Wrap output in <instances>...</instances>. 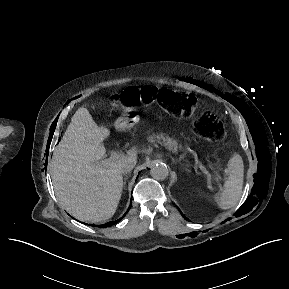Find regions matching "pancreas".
Segmentation results:
<instances>
[{"instance_id":"obj_1","label":"pancreas","mask_w":289,"mask_h":289,"mask_svg":"<svg viewBox=\"0 0 289 289\" xmlns=\"http://www.w3.org/2000/svg\"><path fill=\"white\" fill-rule=\"evenodd\" d=\"M148 141L151 143L157 142L169 150H176V149L180 148V146H178L176 140H173L169 137H165L163 134H152L148 137Z\"/></svg>"}]
</instances>
